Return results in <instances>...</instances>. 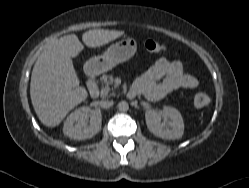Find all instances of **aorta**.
Returning <instances> with one entry per match:
<instances>
[{
    "instance_id": "obj_1",
    "label": "aorta",
    "mask_w": 249,
    "mask_h": 188,
    "mask_svg": "<svg viewBox=\"0 0 249 188\" xmlns=\"http://www.w3.org/2000/svg\"><path fill=\"white\" fill-rule=\"evenodd\" d=\"M119 111L125 112L129 109V105L126 101H121L118 103Z\"/></svg>"
}]
</instances>
